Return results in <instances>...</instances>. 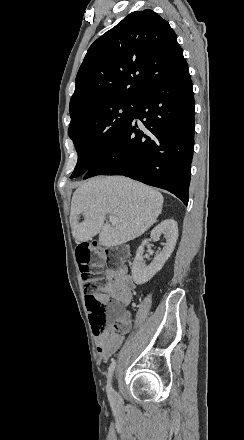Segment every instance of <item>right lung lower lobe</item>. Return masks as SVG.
<instances>
[{"instance_id":"98d812e1","label":"right lung lower lobe","mask_w":244,"mask_h":440,"mask_svg":"<svg viewBox=\"0 0 244 440\" xmlns=\"http://www.w3.org/2000/svg\"><path fill=\"white\" fill-rule=\"evenodd\" d=\"M193 137V88L185 62L149 82L127 127L84 179L124 175L168 190L187 205Z\"/></svg>"}]
</instances>
